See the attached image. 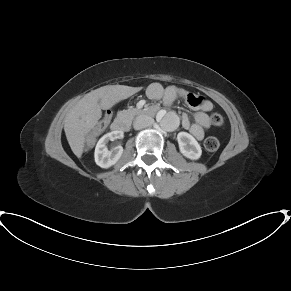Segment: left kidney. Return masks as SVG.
Here are the masks:
<instances>
[{
	"instance_id": "5707ae66",
	"label": "left kidney",
	"mask_w": 291,
	"mask_h": 291,
	"mask_svg": "<svg viewBox=\"0 0 291 291\" xmlns=\"http://www.w3.org/2000/svg\"><path fill=\"white\" fill-rule=\"evenodd\" d=\"M177 141L180 152L188 159L198 160L201 157L202 150L197 140L187 132H179Z\"/></svg>"
}]
</instances>
